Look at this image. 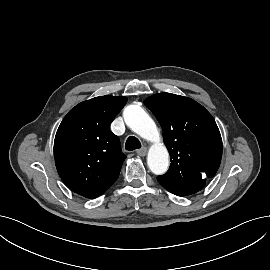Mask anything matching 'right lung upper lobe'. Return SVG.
<instances>
[{"label": "right lung upper lobe", "instance_id": "obj_1", "mask_svg": "<svg viewBox=\"0 0 270 270\" xmlns=\"http://www.w3.org/2000/svg\"><path fill=\"white\" fill-rule=\"evenodd\" d=\"M122 96H99L71 109L54 141L57 171L73 192L86 198L103 194L118 178L126 156L110 124L126 104Z\"/></svg>", "mask_w": 270, "mask_h": 270}]
</instances>
